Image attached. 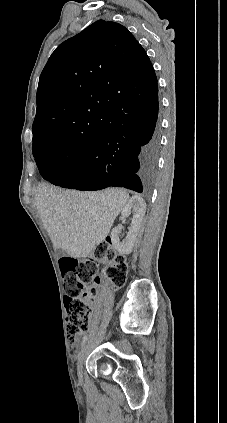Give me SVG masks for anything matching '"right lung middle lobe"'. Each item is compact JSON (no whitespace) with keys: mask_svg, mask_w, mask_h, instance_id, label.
I'll return each mask as SVG.
<instances>
[{"mask_svg":"<svg viewBox=\"0 0 227 423\" xmlns=\"http://www.w3.org/2000/svg\"><path fill=\"white\" fill-rule=\"evenodd\" d=\"M92 147L74 148L59 138H42L33 142V156L38 168L52 166L59 171L68 170L72 164L87 156Z\"/></svg>","mask_w":227,"mask_h":423,"instance_id":"dd1d6c3e","label":"right lung middle lobe"}]
</instances>
